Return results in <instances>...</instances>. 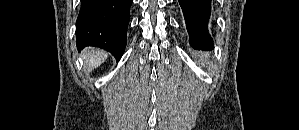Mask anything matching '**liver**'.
<instances>
[{
    "label": "liver",
    "instance_id": "obj_1",
    "mask_svg": "<svg viewBox=\"0 0 299 130\" xmlns=\"http://www.w3.org/2000/svg\"><path fill=\"white\" fill-rule=\"evenodd\" d=\"M108 54L95 48H88L83 52V58L88 70L100 66L107 58Z\"/></svg>",
    "mask_w": 299,
    "mask_h": 130
}]
</instances>
